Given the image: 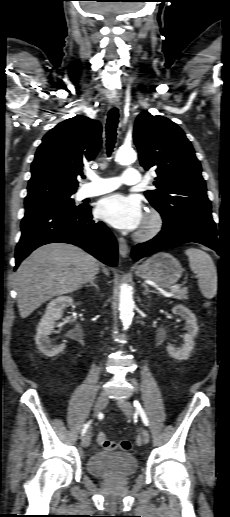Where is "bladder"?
<instances>
[{
  "instance_id": "1",
  "label": "bladder",
  "mask_w": 230,
  "mask_h": 517,
  "mask_svg": "<svg viewBox=\"0 0 230 517\" xmlns=\"http://www.w3.org/2000/svg\"><path fill=\"white\" fill-rule=\"evenodd\" d=\"M87 469L98 478H128L137 471V461L128 452H98L89 458Z\"/></svg>"
}]
</instances>
